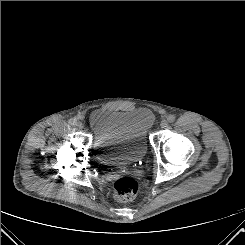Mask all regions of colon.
Here are the masks:
<instances>
[{
	"label": "colon",
	"instance_id": "colon-1",
	"mask_svg": "<svg viewBox=\"0 0 245 245\" xmlns=\"http://www.w3.org/2000/svg\"><path fill=\"white\" fill-rule=\"evenodd\" d=\"M114 196L122 202H128L135 198L138 192V183L135 179L124 176L115 181L113 185Z\"/></svg>",
	"mask_w": 245,
	"mask_h": 245
}]
</instances>
